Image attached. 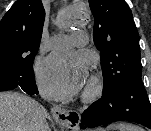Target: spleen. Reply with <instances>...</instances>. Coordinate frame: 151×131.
<instances>
[{
	"label": "spleen",
	"mask_w": 151,
	"mask_h": 131,
	"mask_svg": "<svg viewBox=\"0 0 151 131\" xmlns=\"http://www.w3.org/2000/svg\"><path fill=\"white\" fill-rule=\"evenodd\" d=\"M108 131H143V129L139 128L138 126L132 124H125V123H118L112 124L107 127Z\"/></svg>",
	"instance_id": "1"
}]
</instances>
